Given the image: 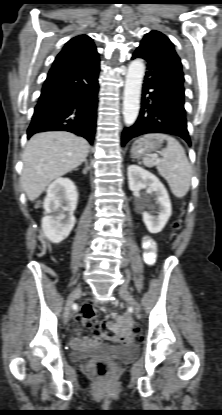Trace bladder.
I'll return each instance as SVG.
<instances>
[{
	"instance_id": "obj_1",
	"label": "bladder",
	"mask_w": 222,
	"mask_h": 415,
	"mask_svg": "<svg viewBox=\"0 0 222 415\" xmlns=\"http://www.w3.org/2000/svg\"><path fill=\"white\" fill-rule=\"evenodd\" d=\"M139 347L132 342L120 345H100L96 347H72L70 359L74 362H82L89 358L104 356L115 361H128L138 356Z\"/></svg>"
}]
</instances>
